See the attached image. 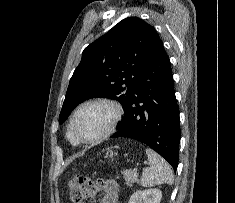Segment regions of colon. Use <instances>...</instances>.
<instances>
[{"label":"colon","mask_w":235,"mask_h":203,"mask_svg":"<svg viewBox=\"0 0 235 203\" xmlns=\"http://www.w3.org/2000/svg\"><path fill=\"white\" fill-rule=\"evenodd\" d=\"M102 183L85 176H75L71 179L70 198L74 203H83L93 198L101 189Z\"/></svg>","instance_id":"obj_1"}]
</instances>
